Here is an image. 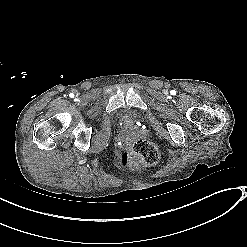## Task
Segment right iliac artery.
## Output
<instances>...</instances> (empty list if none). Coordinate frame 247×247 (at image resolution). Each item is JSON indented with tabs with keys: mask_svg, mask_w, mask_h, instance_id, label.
I'll use <instances>...</instances> for the list:
<instances>
[{
	"mask_svg": "<svg viewBox=\"0 0 247 247\" xmlns=\"http://www.w3.org/2000/svg\"><path fill=\"white\" fill-rule=\"evenodd\" d=\"M74 96V94H71V97H73Z\"/></svg>",
	"mask_w": 247,
	"mask_h": 247,
	"instance_id": "obj_1",
	"label": "right iliac artery"
}]
</instances>
